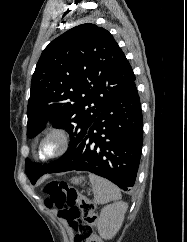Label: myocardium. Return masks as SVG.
Instances as JSON below:
<instances>
[{"mask_svg":"<svg viewBox=\"0 0 187 242\" xmlns=\"http://www.w3.org/2000/svg\"><path fill=\"white\" fill-rule=\"evenodd\" d=\"M51 138H55L58 140V149L55 153L46 155L44 154L42 147L44 142ZM69 146H70V136L68 131L65 130L64 128L54 127L49 129L40 139L38 143V154L40 158L45 160L58 158L67 152V150L69 149Z\"/></svg>","mask_w":187,"mask_h":242,"instance_id":"obj_1","label":"myocardium"}]
</instances>
